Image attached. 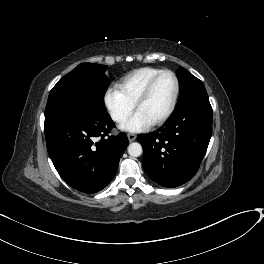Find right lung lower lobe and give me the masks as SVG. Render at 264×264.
<instances>
[{"mask_svg": "<svg viewBox=\"0 0 264 264\" xmlns=\"http://www.w3.org/2000/svg\"><path fill=\"white\" fill-rule=\"evenodd\" d=\"M114 123L107 111L84 109L45 118L49 156L63 180L72 188L96 193L115 175L125 133L108 136Z\"/></svg>", "mask_w": 264, "mask_h": 264, "instance_id": "right-lung-lower-lobe-1", "label": "right lung lower lobe"}]
</instances>
